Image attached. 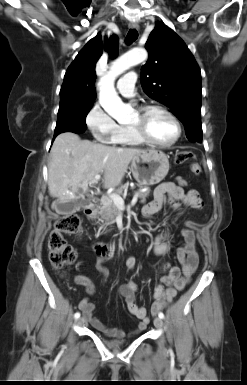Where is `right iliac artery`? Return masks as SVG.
I'll list each match as a JSON object with an SVG mask.
<instances>
[{"instance_id": "82829eb1", "label": "right iliac artery", "mask_w": 247, "mask_h": 385, "mask_svg": "<svg viewBox=\"0 0 247 385\" xmlns=\"http://www.w3.org/2000/svg\"><path fill=\"white\" fill-rule=\"evenodd\" d=\"M80 317V313L79 312H76L75 315H74V318L75 319H78Z\"/></svg>"}]
</instances>
